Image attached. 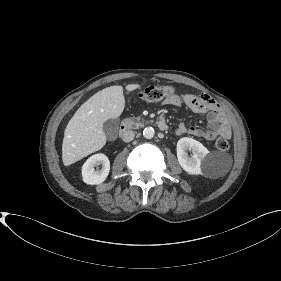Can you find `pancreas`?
Returning <instances> with one entry per match:
<instances>
[{"label": "pancreas", "mask_w": 281, "mask_h": 281, "mask_svg": "<svg viewBox=\"0 0 281 281\" xmlns=\"http://www.w3.org/2000/svg\"><path fill=\"white\" fill-rule=\"evenodd\" d=\"M143 122L144 120L140 117H131L124 119L123 124L128 128L137 129L143 126Z\"/></svg>", "instance_id": "obj_1"}]
</instances>
